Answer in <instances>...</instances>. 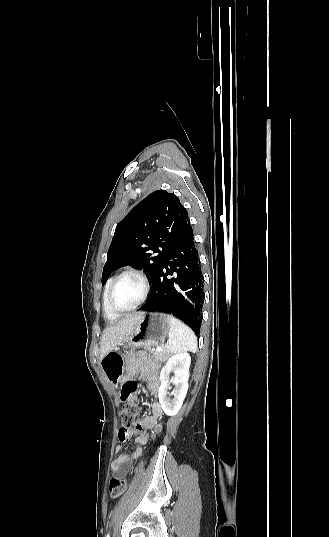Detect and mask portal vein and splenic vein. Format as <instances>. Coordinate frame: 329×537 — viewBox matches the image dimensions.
Wrapping results in <instances>:
<instances>
[{"instance_id":"1","label":"portal vein and splenic vein","mask_w":329,"mask_h":537,"mask_svg":"<svg viewBox=\"0 0 329 537\" xmlns=\"http://www.w3.org/2000/svg\"><path fill=\"white\" fill-rule=\"evenodd\" d=\"M156 350H157V351H161V350H162V347L158 346V347L156 348Z\"/></svg>"}]
</instances>
